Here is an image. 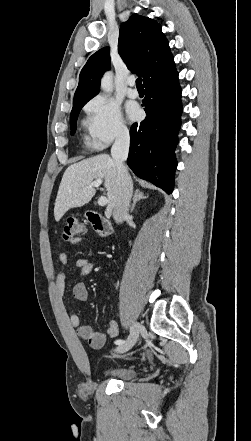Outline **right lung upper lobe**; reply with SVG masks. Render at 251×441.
<instances>
[{
	"instance_id": "cb5924a9",
	"label": "right lung upper lobe",
	"mask_w": 251,
	"mask_h": 441,
	"mask_svg": "<svg viewBox=\"0 0 251 441\" xmlns=\"http://www.w3.org/2000/svg\"><path fill=\"white\" fill-rule=\"evenodd\" d=\"M118 52L132 72L143 82L175 65L169 42L153 19L132 15L120 26ZM110 69L109 48L95 52L82 68L73 101L91 99L100 90V79Z\"/></svg>"
}]
</instances>
